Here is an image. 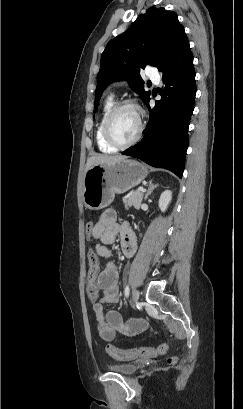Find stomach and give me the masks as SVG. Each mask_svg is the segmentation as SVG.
Here are the masks:
<instances>
[{
  "label": "stomach",
  "mask_w": 243,
  "mask_h": 409,
  "mask_svg": "<svg viewBox=\"0 0 243 409\" xmlns=\"http://www.w3.org/2000/svg\"><path fill=\"white\" fill-rule=\"evenodd\" d=\"M148 169L136 160L122 159L112 164L94 165L85 171L82 200L86 208L99 210L109 206L116 194L139 185Z\"/></svg>",
  "instance_id": "stomach-1"
}]
</instances>
